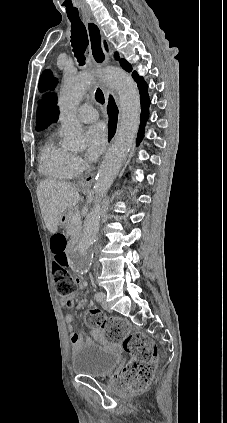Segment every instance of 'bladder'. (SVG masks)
<instances>
[{"label": "bladder", "instance_id": "obj_1", "mask_svg": "<svg viewBox=\"0 0 227 423\" xmlns=\"http://www.w3.org/2000/svg\"><path fill=\"white\" fill-rule=\"evenodd\" d=\"M121 363L117 352L101 348L96 343L83 344L82 348L72 356V371L77 376L93 379H107Z\"/></svg>", "mask_w": 227, "mask_h": 423}]
</instances>
